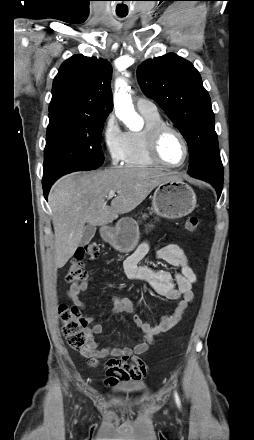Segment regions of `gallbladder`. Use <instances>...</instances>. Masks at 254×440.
<instances>
[{
  "instance_id": "gallbladder-1",
  "label": "gallbladder",
  "mask_w": 254,
  "mask_h": 440,
  "mask_svg": "<svg viewBox=\"0 0 254 440\" xmlns=\"http://www.w3.org/2000/svg\"><path fill=\"white\" fill-rule=\"evenodd\" d=\"M96 233V227L91 224H87L84 228L82 239L80 241L81 246L87 245Z\"/></svg>"
}]
</instances>
